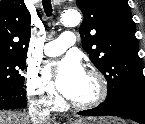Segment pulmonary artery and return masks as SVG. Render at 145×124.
<instances>
[{
	"label": "pulmonary artery",
	"instance_id": "1",
	"mask_svg": "<svg viewBox=\"0 0 145 124\" xmlns=\"http://www.w3.org/2000/svg\"><path fill=\"white\" fill-rule=\"evenodd\" d=\"M75 43V37L72 32H63L57 40L45 44L44 52L47 56H58L63 54Z\"/></svg>",
	"mask_w": 145,
	"mask_h": 124
}]
</instances>
